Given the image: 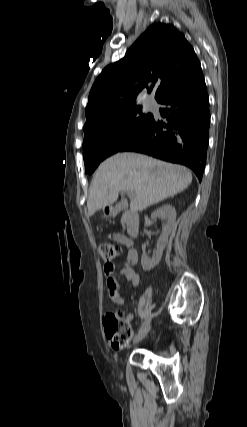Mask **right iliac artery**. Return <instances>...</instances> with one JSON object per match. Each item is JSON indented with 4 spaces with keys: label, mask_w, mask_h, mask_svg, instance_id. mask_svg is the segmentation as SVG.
Listing matches in <instances>:
<instances>
[{
    "label": "right iliac artery",
    "mask_w": 247,
    "mask_h": 427,
    "mask_svg": "<svg viewBox=\"0 0 247 427\" xmlns=\"http://www.w3.org/2000/svg\"><path fill=\"white\" fill-rule=\"evenodd\" d=\"M148 321H149V319L146 318L145 321L142 323L140 330L143 329L146 326V324L148 323Z\"/></svg>",
    "instance_id": "1"
}]
</instances>
